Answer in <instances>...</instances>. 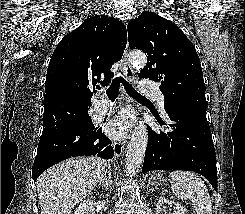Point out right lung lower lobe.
Listing matches in <instances>:
<instances>
[{
	"instance_id": "obj_1",
	"label": "right lung lower lobe",
	"mask_w": 245,
	"mask_h": 214,
	"mask_svg": "<svg viewBox=\"0 0 245 214\" xmlns=\"http://www.w3.org/2000/svg\"><path fill=\"white\" fill-rule=\"evenodd\" d=\"M113 154L111 141L93 125L91 117L60 120L44 126L32 177L36 181L43 171L70 157L96 155L110 159Z\"/></svg>"
}]
</instances>
